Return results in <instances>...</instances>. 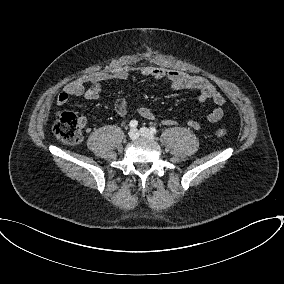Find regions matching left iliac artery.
Listing matches in <instances>:
<instances>
[{
  "instance_id": "1",
  "label": "left iliac artery",
  "mask_w": 284,
  "mask_h": 284,
  "mask_svg": "<svg viewBox=\"0 0 284 284\" xmlns=\"http://www.w3.org/2000/svg\"><path fill=\"white\" fill-rule=\"evenodd\" d=\"M150 132H151L152 134H156V133H157V130H156L155 127H150Z\"/></svg>"
}]
</instances>
